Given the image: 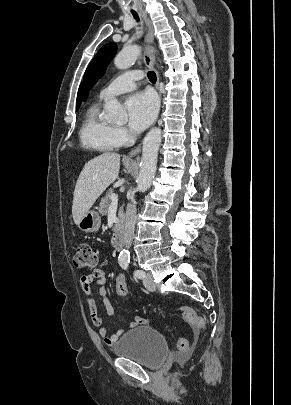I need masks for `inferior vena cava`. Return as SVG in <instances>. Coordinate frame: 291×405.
I'll return each mask as SVG.
<instances>
[{
    "label": "inferior vena cava",
    "mask_w": 291,
    "mask_h": 405,
    "mask_svg": "<svg viewBox=\"0 0 291 405\" xmlns=\"http://www.w3.org/2000/svg\"><path fill=\"white\" fill-rule=\"evenodd\" d=\"M136 222V205L129 203L126 209V218L122 228L123 240L126 248H130L134 235Z\"/></svg>",
    "instance_id": "1"
}]
</instances>
